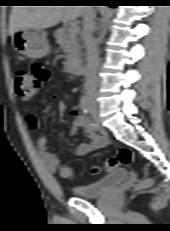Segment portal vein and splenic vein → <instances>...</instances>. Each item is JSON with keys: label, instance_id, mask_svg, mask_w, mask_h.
Returning <instances> with one entry per match:
<instances>
[{"label": "portal vein and splenic vein", "instance_id": "portal-vein-and-splenic-vein-1", "mask_svg": "<svg viewBox=\"0 0 170 231\" xmlns=\"http://www.w3.org/2000/svg\"><path fill=\"white\" fill-rule=\"evenodd\" d=\"M69 32L72 35H76L79 32V27L76 24L72 23L69 26Z\"/></svg>", "mask_w": 170, "mask_h": 231}]
</instances>
